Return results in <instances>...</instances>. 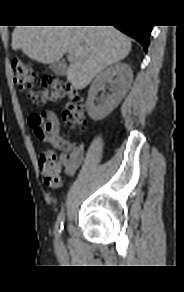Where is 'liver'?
Segmentation results:
<instances>
[{
	"label": "liver",
	"instance_id": "obj_1",
	"mask_svg": "<svg viewBox=\"0 0 184 292\" xmlns=\"http://www.w3.org/2000/svg\"><path fill=\"white\" fill-rule=\"evenodd\" d=\"M12 49L43 64L72 54L67 80L83 89L105 67L124 59L131 41L113 26H16Z\"/></svg>",
	"mask_w": 184,
	"mask_h": 292
}]
</instances>
